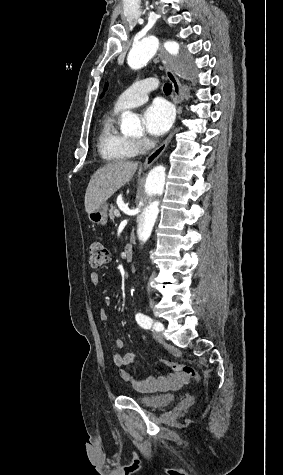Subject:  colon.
Listing matches in <instances>:
<instances>
[{
  "label": "colon",
  "mask_w": 283,
  "mask_h": 475,
  "mask_svg": "<svg viewBox=\"0 0 283 475\" xmlns=\"http://www.w3.org/2000/svg\"><path fill=\"white\" fill-rule=\"evenodd\" d=\"M89 255L90 265L92 267H100L109 259V252L99 242H94L91 244L89 248ZM155 363L170 368L172 371L176 372V374L180 375L179 378H194L198 382H202L204 379V375L202 374V372L192 365L176 363L163 358H157Z\"/></svg>",
  "instance_id": "colon-1"
}]
</instances>
